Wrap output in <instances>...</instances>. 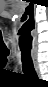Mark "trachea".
I'll list each match as a JSON object with an SVG mask.
<instances>
[{
	"label": "trachea",
	"instance_id": "trachea-1",
	"mask_svg": "<svg viewBox=\"0 0 48 87\" xmlns=\"http://www.w3.org/2000/svg\"><path fill=\"white\" fill-rule=\"evenodd\" d=\"M21 60L24 73L28 77L37 78V73L33 65L31 52L28 50L21 49Z\"/></svg>",
	"mask_w": 48,
	"mask_h": 87
}]
</instances>
